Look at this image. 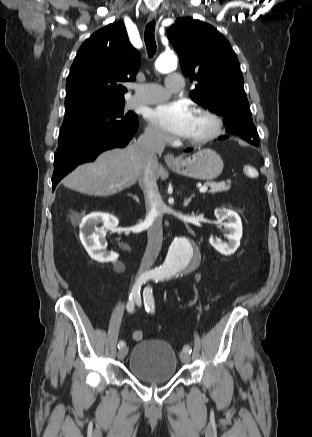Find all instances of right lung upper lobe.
Listing matches in <instances>:
<instances>
[{
	"instance_id": "right-lung-upper-lobe-1",
	"label": "right lung upper lobe",
	"mask_w": 312,
	"mask_h": 437,
	"mask_svg": "<svg viewBox=\"0 0 312 437\" xmlns=\"http://www.w3.org/2000/svg\"><path fill=\"white\" fill-rule=\"evenodd\" d=\"M140 54L130 44L125 25L114 22L85 40L66 81L65 106L125 102L122 83L134 81Z\"/></svg>"
}]
</instances>
